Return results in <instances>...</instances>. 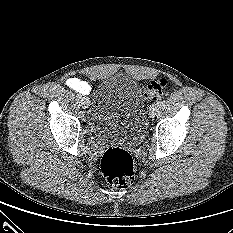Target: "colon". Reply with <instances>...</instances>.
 <instances>
[{"instance_id": "1", "label": "colon", "mask_w": 233, "mask_h": 233, "mask_svg": "<svg viewBox=\"0 0 233 233\" xmlns=\"http://www.w3.org/2000/svg\"><path fill=\"white\" fill-rule=\"evenodd\" d=\"M166 86V79L153 81L144 89V96L155 100L163 94ZM100 169L108 184L116 189L126 188L134 179L133 160L122 148L112 147L106 150L100 161Z\"/></svg>"}]
</instances>
